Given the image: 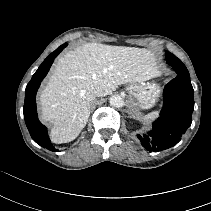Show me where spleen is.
Masks as SVG:
<instances>
[{"instance_id":"obj_1","label":"spleen","mask_w":211,"mask_h":211,"mask_svg":"<svg viewBox=\"0 0 211 211\" xmlns=\"http://www.w3.org/2000/svg\"><path fill=\"white\" fill-rule=\"evenodd\" d=\"M159 116V111H153L142 117L144 123H149L151 120L157 118Z\"/></svg>"}]
</instances>
